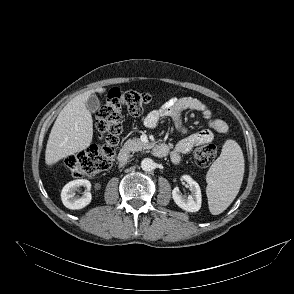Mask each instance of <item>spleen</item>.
I'll list each match as a JSON object with an SVG mask.
<instances>
[{
	"label": "spleen",
	"instance_id": "3e777b00",
	"mask_svg": "<svg viewBox=\"0 0 294 294\" xmlns=\"http://www.w3.org/2000/svg\"><path fill=\"white\" fill-rule=\"evenodd\" d=\"M244 157L234 140H227L220 156L206 175V193L209 210L213 215L222 213L233 202L242 184Z\"/></svg>",
	"mask_w": 294,
	"mask_h": 294
}]
</instances>
